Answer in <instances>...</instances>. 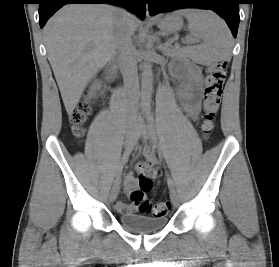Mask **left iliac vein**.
Wrapping results in <instances>:
<instances>
[{
  "label": "left iliac vein",
  "mask_w": 279,
  "mask_h": 267,
  "mask_svg": "<svg viewBox=\"0 0 279 267\" xmlns=\"http://www.w3.org/2000/svg\"><path fill=\"white\" fill-rule=\"evenodd\" d=\"M136 134L142 136L144 140H147L150 137L147 127L142 122L136 125ZM170 198L173 205L177 207L179 205V197L175 191H171Z\"/></svg>",
  "instance_id": "1"
}]
</instances>
